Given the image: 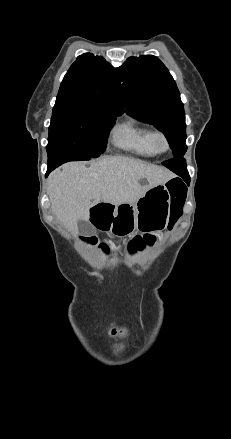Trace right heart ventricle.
<instances>
[{"label": "right heart ventricle", "mask_w": 231, "mask_h": 439, "mask_svg": "<svg viewBox=\"0 0 231 439\" xmlns=\"http://www.w3.org/2000/svg\"><path fill=\"white\" fill-rule=\"evenodd\" d=\"M153 129L135 119H129L114 131V144L139 156L157 154L152 142Z\"/></svg>", "instance_id": "right-heart-ventricle-1"}]
</instances>
